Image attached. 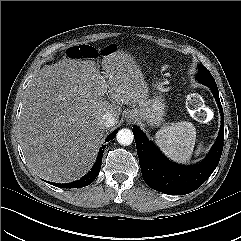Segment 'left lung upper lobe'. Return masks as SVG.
<instances>
[{"label":"left lung upper lobe","mask_w":241,"mask_h":241,"mask_svg":"<svg viewBox=\"0 0 241 241\" xmlns=\"http://www.w3.org/2000/svg\"><path fill=\"white\" fill-rule=\"evenodd\" d=\"M198 71L199 72L197 75V79L199 82L205 84L206 86L208 85L216 86L213 76L204 66H200Z\"/></svg>","instance_id":"left-lung-upper-lobe-1"}]
</instances>
